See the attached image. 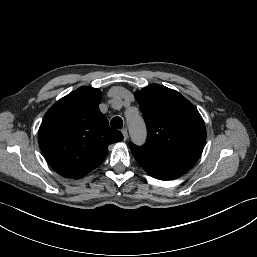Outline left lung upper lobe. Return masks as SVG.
Wrapping results in <instances>:
<instances>
[{"instance_id":"obj_1","label":"left lung upper lobe","mask_w":257,"mask_h":257,"mask_svg":"<svg viewBox=\"0 0 257 257\" xmlns=\"http://www.w3.org/2000/svg\"><path fill=\"white\" fill-rule=\"evenodd\" d=\"M147 126V141L130 143L135 159L143 167L189 170L198 161L206 128L196 107L179 92L161 85L135 93Z\"/></svg>"}]
</instances>
